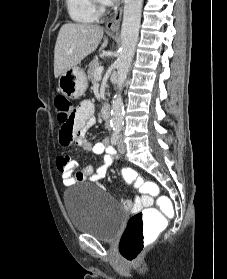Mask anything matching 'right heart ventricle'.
Listing matches in <instances>:
<instances>
[{
  "instance_id": "e07e8e85",
  "label": "right heart ventricle",
  "mask_w": 227,
  "mask_h": 279,
  "mask_svg": "<svg viewBox=\"0 0 227 279\" xmlns=\"http://www.w3.org/2000/svg\"><path fill=\"white\" fill-rule=\"evenodd\" d=\"M70 18L78 23H91L97 19V13L90 0H66Z\"/></svg>"
}]
</instances>
